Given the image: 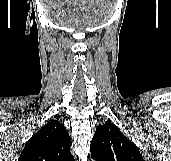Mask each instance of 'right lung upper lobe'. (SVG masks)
Masks as SVG:
<instances>
[{"label": "right lung upper lobe", "mask_w": 171, "mask_h": 161, "mask_svg": "<svg viewBox=\"0 0 171 161\" xmlns=\"http://www.w3.org/2000/svg\"><path fill=\"white\" fill-rule=\"evenodd\" d=\"M65 127L51 120L26 143L18 161H74Z\"/></svg>", "instance_id": "obj_1"}]
</instances>
